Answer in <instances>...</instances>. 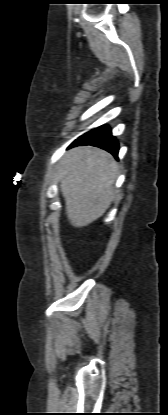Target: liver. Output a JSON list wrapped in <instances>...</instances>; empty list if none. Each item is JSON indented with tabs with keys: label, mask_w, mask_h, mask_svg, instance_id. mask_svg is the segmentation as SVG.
I'll return each instance as SVG.
<instances>
[{
	"label": "liver",
	"mask_w": 168,
	"mask_h": 415,
	"mask_svg": "<svg viewBox=\"0 0 168 415\" xmlns=\"http://www.w3.org/2000/svg\"><path fill=\"white\" fill-rule=\"evenodd\" d=\"M60 165V190L68 220L77 228L87 226L110 207L118 164L108 152L84 146L66 152Z\"/></svg>",
	"instance_id": "1"
}]
</instances>
